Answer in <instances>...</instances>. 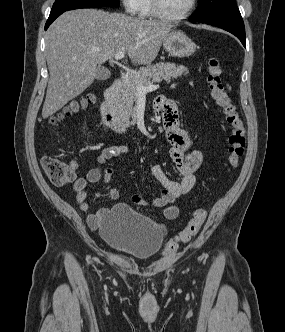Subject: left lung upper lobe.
I'll return each mask as SVG.
<instances>
[{
    "instance_id": "obj_1",
    "label": "left lung upper lobe",
    "mask_w": 285,
    "mask_h": 332,
    "mask_svg": "<svg viewBox=\"0 0 285 332\" xmlns=\"http://www.w3.org/2000/svg\"><path fill=\"white\" fill-rule=\"evenodd\" d=\"M198 5L190 19L210 22L242 18L235 0H198Z\"/></svg>"
}]
</instances>
